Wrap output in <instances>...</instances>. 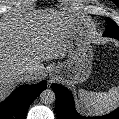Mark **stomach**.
Instances as JSON below:
<instances>
[{"mask_svg":"<svg viewBox=\"0 0 119 119\" xmlns=\"http://www.w3.org/2000/svg\"><path fill=\"white\" fill-rule=\"evenodd\" d=\"M80 29L77 27L70 37L67 60L54 67L55 72L62 73L74 84L84 82L89 77L93 57L92 46L85 31Z\"/></svg>","mask_w":119,"mask_h":119,"instance_id":"1","label":"stomach"}]
</instances>
